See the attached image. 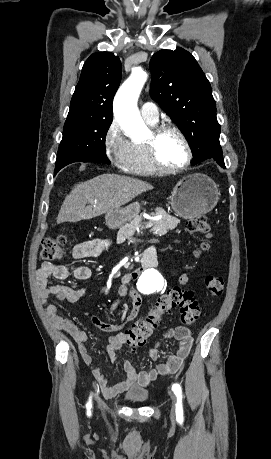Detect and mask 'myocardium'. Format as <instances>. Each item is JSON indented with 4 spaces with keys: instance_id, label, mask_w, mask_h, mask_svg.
<instances>
[{
    "instance_id": "obj_1",
    "label": "myocardium",
    "mask_w": 271,
    "mask_h": 459,
    "mask_svg": "<svg viewBox=\"0 0 271 459\" xmlns=\"http://www.w3.org/2000/svg\"><path fill=\"white\" fill-rule=\"evenodd\" d=\"M167 132H175L177 133L184 141L186 148H187V158L186 160L178 165H168L166 164L159 153L158 143L161 137ZM146 145L152 159V162L156 166V168L162 172L166 173H174L180 172L188 168L193 160H194V149L191 144V141L187 134L177 125L175 124H162L153 129L151 132V138L146 140Z\"/></svg>"
}]
</instances>
